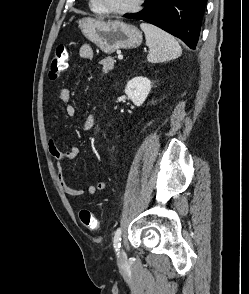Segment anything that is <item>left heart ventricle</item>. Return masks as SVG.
Returning a JSON list of instances; mask_svg holds the SVG:
<instances>
[{"label":"left heart ventricle","mask_w":249,"mask_h":294,"mask_svg":"<svg viewBox=\"0 0 249 294\" xmlns=\"http://www.w3.org/2000/svg\"><path fill=\"white\" fill-rule=\"evenodd\" d=\"M135 0H102V3L113 9H122L131 5Z\"/></svg>","instance_id":"obj_1"}]
</instances>
